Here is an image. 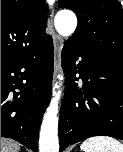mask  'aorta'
<instances>
[{"mask_svg": "<svg viewBox=\"0 0 123 152\" xmlns=\"http://www.w3.org/2000/svg\"><path fill=\"white\" fill-rule=\"evenodd\" d=\"M77 26V18L71 11H60L55 17V28L57 32L64 37L72 35ZM58 79L62 82L64 80L63 73L58 75ZM61 84H56L55 88L59 89ZM61 97V91H53V97L50 105L43 117L40 138L39 151L40 152H58V103Z\"/></svg>", "mask_w": 123, "mask_h": 152, "instance_id": "762f6f07", "label": "aorta"}]
</instances>
